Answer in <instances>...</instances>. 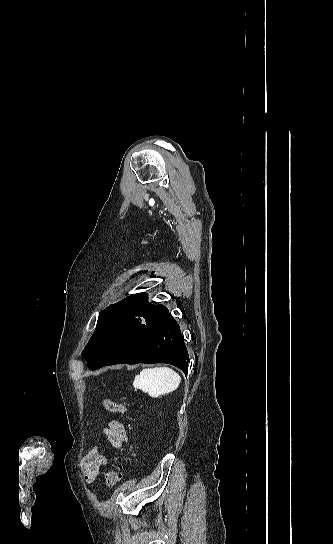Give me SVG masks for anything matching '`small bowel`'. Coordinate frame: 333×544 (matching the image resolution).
<instances>
[{"label": "small bowel", "mask_w": 333, "mask_h": 544, "mask_svg": "<svg viewBox=\"0 0 333 544\" xmlns=\"http://www.w3.org/2000/svg\"><path fill=\"white\" fill-rule=\"evenodd\" d=\"M104 434L109 443L118 449L122 448L123 444L128 441L124 426L116 420L109 422L104 429ZM107 463L108 458L97 447H93L81 461V471L85 482L87 484L93 483L99 475L100 469Z\"/></svg>", "instance_id": "obj_1"}]
</instances>
